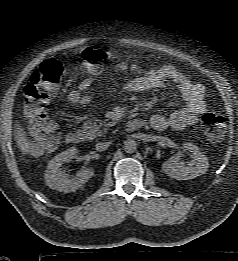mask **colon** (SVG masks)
<instances>
[{
    "mask_svg": "<svg viewBox=\"0 0 238 261\" xmlns=\"http://www.w3.org/2000/svg\"><path fill=\"white\" fill-rule=\"evenodd\" d=\"M87 69L98 73L110 60L106 48H87L81 55ZM63 67L55 59L45 60L32 74L30 82L24 89V112L28 120L34 141L27 144L29 151L38 153L54 149L60 139L57 124L48 116L46 106L49 93L55 90L61 79ZM226 117L218 111H208L201 118V128L211 142H219L226 132Z\"/></svg>",
    "mask_w": 238,
    "mask_h": 261,
    "instance_id": "1",
    "label": "colon"
}]
</instances>
